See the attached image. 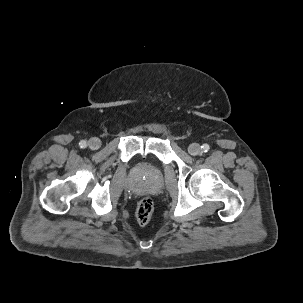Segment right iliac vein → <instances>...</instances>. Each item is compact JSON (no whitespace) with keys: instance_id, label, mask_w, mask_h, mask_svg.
<instances>
[{"instance_id":"right-iliac-vein-1","label":"right iliac vein","mask_w":303,"mask_h":303,"mask_svg":"<svg viewBox=\"0 0 303 303\" xmlns=\"http://www.w3.org/2000/svg\"><path fill=\"white\" fill-rule=\"evenodd\" d=\"M88 146L92 149V150H97L100 148L101 146V141L94 137V138H91L89 141H88Z\"/></svg>"}]
</instances>
